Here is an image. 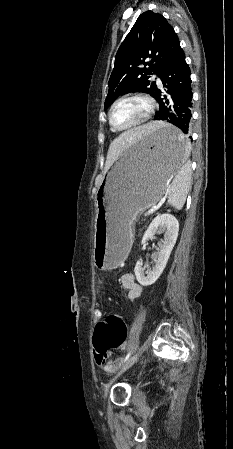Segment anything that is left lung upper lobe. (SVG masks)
Here are the masks:
<instances>
[{
	"instance_id": "5c2ea615",
	"label": "left lung upper lobe",
	"mask_w": 233,
	"mask_h": 449,
	"mask_svg": "<svg viewBox=\"0 0 233 449\" xmlns=\"http://www.w3.org/2000/svg\"><path fill=\"white\" fill-rule=\"evenodd\" d=\"M181 49L177 34L161 14L142 13L116 53L104 109L126 93L140 91L153 96L157 86L148 75L160 76Z\"/></svg>"
}]
</instances>
